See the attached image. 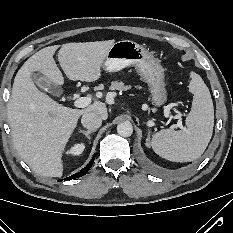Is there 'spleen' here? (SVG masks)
I'll list each match as a JSON object with an SVG mask.
<instances>
[{"label": "spleen", "mask_w": 233, "mask_h": 233, "mask_svg": "<svg viewBox=\"0 0 233 233\" xmlns=\"http://www.w3.org/2000/svg\"><path fill=\"white\" fill-rule=\"evenodd\" d=\"M189 91L192 108L186 127L180 131L165 129L153 135L151 146L156 154L169 161L190 162L200 157L213 133L214 108L211 94L200 75L190 73Z\"/></svg>", "instance_id": "1"}]
</instances>
